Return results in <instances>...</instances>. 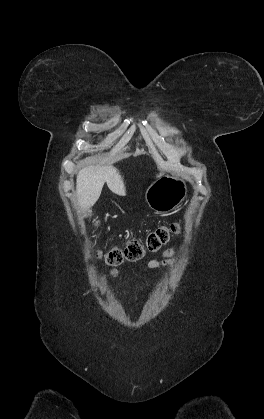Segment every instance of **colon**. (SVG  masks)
Returning a JSON list of instances; mask_svg holds the SVG:
<instances>
[{"mask_svg":"<svg viewBox=\"0 0 264 419\" xmlns=\"http://www.w3.org/2000/svg\"><path fill=\"white\" fill-rule=\"evenodd\" d=\"M177 231V224H172L169 227H157L147 233L144 241L131 239L123 247H112L104 255L105 261L110 266H117L125 260H138L143 256L146 250L150 252L158 251L168 242L171 234ZM96 253L99 256L102 255L101 252Z\"/></svg>","mask_w":264,"mask_h":419,"instance_id":"1","label":"colon"}]
</instances>
